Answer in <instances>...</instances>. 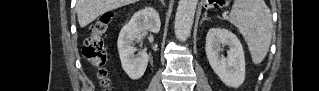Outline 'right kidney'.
I'll return each instance as SVG.
<instances>
[{"instance_id":"1","label":"right kidney","mask_w":319,"mask_h":91,"mask_svg":"<svg viewBox=\"0 0 319 91\" xmlns=\"http://www.w3.org/2000/svg\"><path fill=\"white\" fill-rule=\"evenodd\" d=\"M160 26L158 12L152 7H146L136 12L121 29L117 42L118 52L122 68L132 80L141 78L148 64L146 52L134 55V41H140L147 31L158 33Z\"/></svg>"}]
</instances>
